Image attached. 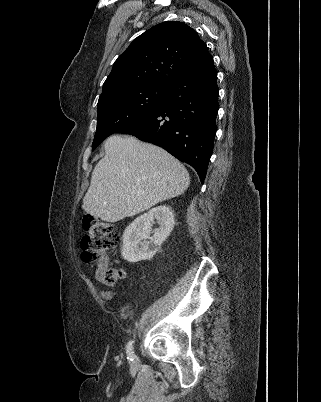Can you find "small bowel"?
<instances>
[{"label":"small bowel","instance_id":"1","mask_svg":"<svg viewBox=\"0 0 321 402\" xmlns=\"http://www.w3.org/2000/svg\"><path fill=\"white\" fill-rule=\"evenodd\" d=\"M104 264L105 262L103 260L100 261L99 265L97 266V268L95 269V277L98 281L103 282V269H104ZM101 295L105 298H108L112 295L111 292L109 291H101Z\"/></svg>","mask_w":321,"mask_h":402}]
</instances>
